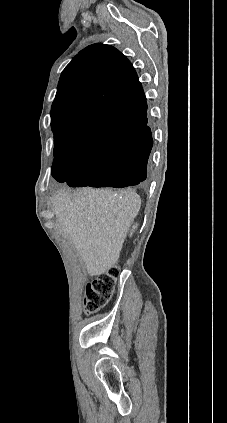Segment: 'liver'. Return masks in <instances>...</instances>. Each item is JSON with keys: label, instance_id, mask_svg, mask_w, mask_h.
Wrapping results in <instances>:
<instances>
[{"label": "liver", "instance_id": "1", "mask_svg": "<svg viewBox=\"0 0 227 423\" xmlns=\"http://www.w3.org/2000/svg\"><path fill=\"white\" fill-rule=\"evenodd\" d=\"M59 231L81 255L89 275H101L117 263L141 206L136 192L82 188L57 192L52 200Z\"/></svg>", "mask_w": 227, "mask_h": 423}]
</instances>
